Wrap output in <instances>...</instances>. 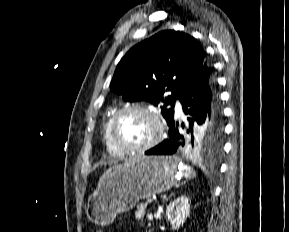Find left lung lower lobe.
Segmentation results:
<instances>
[{"instance_id":"1","label":"left lung lower lobe","mask_w":289,"mask_h":232,"mask_svg":"<svg viewBox=\"0 0 289 232\" xmlns=\"http://www.w3.org/2000/svg\"><path fill=\"white\" fill-rule=\"evenodd\" d=\"M183 112L188 116L189 123L180 125L174 119L169 126V136L156 147L145 152L146 155H172L176 152H187V138L180 127L191 134L211 121H222L216 90V79L211 64L205 60L202 67L187 85L179 97Z\"/></svg>"}]
</instances>
